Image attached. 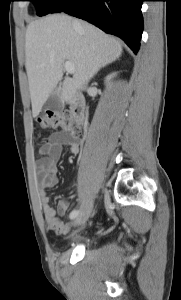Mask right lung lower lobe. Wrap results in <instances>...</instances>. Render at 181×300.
<instances>
[{
	"label": "right lung lower lobe",
	"instance_id": "obj_1",
	"mask_svg": "<svg viewBox=\"0 0 181 300\" xmlns=\"http://www.w3.org/2000/svg\"><path fill=\"white\" fill-rule=\"evenodd\" d=\"M145 0H64L54 13L65 12L86 20L106 33L122 38L137 54L143 31Z\"/></svg>",
	"mask_w": 181,
	"mask_h": 300
}]
</instances>
